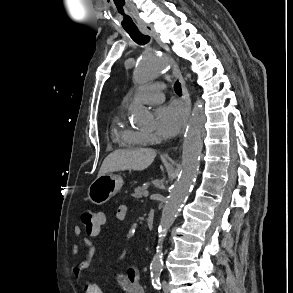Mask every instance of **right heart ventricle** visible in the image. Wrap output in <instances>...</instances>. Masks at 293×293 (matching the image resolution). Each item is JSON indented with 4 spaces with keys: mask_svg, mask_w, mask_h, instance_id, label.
<instances>
[{
    "mask_svg": "<svg viewBox=\"0 0 293 293\" xmlns=\"http://www.w3.org/2000/svg\"><path fill=\"white\" fill-rule=\"evenodd\" d=\"M112 134L120 145L127 148L142 147L148 143L141 132L126 127L121 116L115 118Z\"/></svg>",
    "mask_w": 293,
    "mask_h": 293,
    "instance_id": "right-heart-ventricle-1",
    "label": "right heart ventricle"
}]
</instances>
